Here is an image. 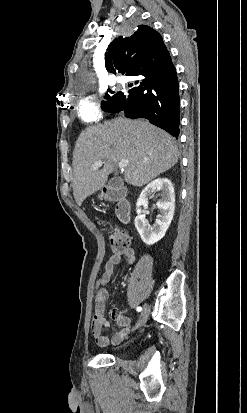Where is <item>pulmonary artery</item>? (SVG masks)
<instances>
[{
	"instance_id": "pulmonary-artery-1",
	"label": "pulmonary artery",
	"mask_w": 247,
	"mask_h": 413,
	"mask_svg": "<svg viewBox=\"0 0 247 413\" xmlns=\"http://www.w3.org/2000/svg\"><path fill=\"white\" fill-rule=\"evenodd\" d=\"M125 82H126V79L122 75H111L109 78L110 86L116 87L118 89L122 88Z\"/></svg>"
}]
</instances>
